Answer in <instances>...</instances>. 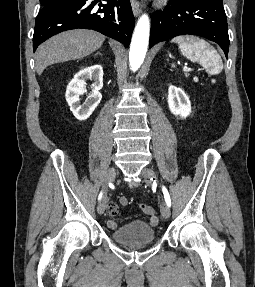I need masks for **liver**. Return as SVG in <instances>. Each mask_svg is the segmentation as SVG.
Segmentation results:
<instances>
[{
	"mask_svg": "<svg viewBox=\"0 0 255 287\" xmlns=\"http://www.w3.org/2000/svg\"><path fill=\"white\" fill-rule=\"evenodd\" d=\"M105 36L92 32V30H69L62 32L54 38H50L39 46L35 54V70L41 76L47 66L68 62V60H80L101 48Z\"/></svg>",
	"mask_w": 255,
	"mask_h": 287,
	"instance_id": "obj_1",
	"label": "liver"
}]
</instances>
